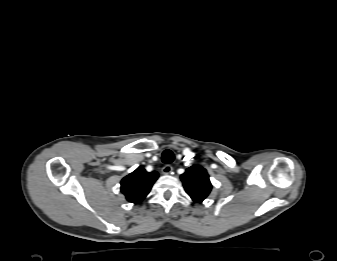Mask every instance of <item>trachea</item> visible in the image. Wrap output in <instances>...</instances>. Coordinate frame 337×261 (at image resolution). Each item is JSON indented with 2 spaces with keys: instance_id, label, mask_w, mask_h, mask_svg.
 Segmentation results:
<instances>
[{
  "instance_id": "1",
  "label": "trachea",
  "mask_w": 337,
  "mask_h": 261,
  "mask_svg": "<svg viewBox=\"0 0 337 261\" xmlns=\"http://www.w3.org/2000/svg\"><path fill=\"white\" fill-rule=\"evenodd\" d=\"M174 160V154L171 150H165L162 153V161L165 164H170Z\"/></svg>"
}]
</instances>
